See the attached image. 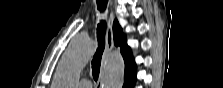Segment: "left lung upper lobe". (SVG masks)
Returning a JSON list of instances; mask_svg holds the SVG:
<instances>
[{"label":"left lung upper lobe","instance_id":"left-lung-upper-lobe-1","mask_svg":"<svg viewBox=\"0 0 223 88\" xmlns=\"http://www.w3.org/2000/svg\"><path fill=\"white\" fill-rule=\"evenodd\" d=\"M113 35H114V44L116 46H120L125 64L135 65L133 57L131 56V49L126 43L124 34L117 20H115L113 24Z\"/></svg>","mask_w":223,"mask_h":88}]
</instances>
